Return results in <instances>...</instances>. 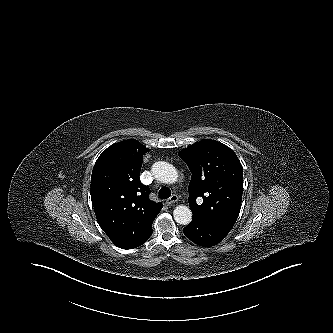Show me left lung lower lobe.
<instances>
[{
  "instance_id": "left-lung-lower-lobe-1",
  "label": "left lung lower lobe",
  "mask_w": 333,
  "mask_h": 333,
  "mask_svg": "<svg viewBox=\"0 0 333 333\" xmlns=\"http://www.w3.org/2000/svg\"><path fill=\"white\" fill-rule=\"evenodd\" d=\"M184 234L200 246H214L229 233L228 230L193 216L191 223L183 229Z\"/></svg>"
}]
</instances>
